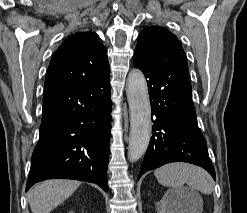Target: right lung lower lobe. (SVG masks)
Masks as SVG:
<instances>
[{
  "mask_svg": "<svg viewBox=\"0 0 247 213\" xmlns=\"http://www.w3.org/2000/svg\"><path fill=\"white\" fill-rule=\"evenodd\" d=\"M111 105L110 74L44 95L26 191L50 178L92 182L108 191Z\"/></svg>",
  "mask_w": 247,
  "mask_h": 213,
  "instance_id": "98d812e1",
  "label": "right lung lower lobe"
}]
</instances>
